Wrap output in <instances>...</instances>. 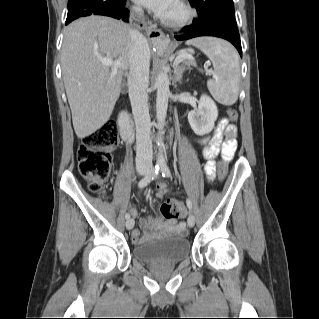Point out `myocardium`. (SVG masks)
<instances>
[{
  "label": "myocardium",
  "mask_w": 319,
  "mask_h": 319,
  "mask_svg": "<svg viewBox=\"0 0 319 319\" xmlns=\"http://www.w3.org/2000/svg\"><path fill=\"white\" fill-rule=\"evenodd\" d=\"M177 5L180 9V14L175 17L163 16L161 22L164 25L179 28L186 25L194 17V9L186 0H177Z\"/></svg>",
  "instance_id": "myocardium-1"
}]
</instances>
